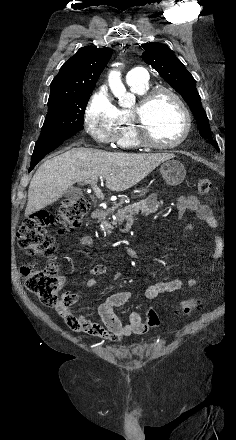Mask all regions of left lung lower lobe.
I'll use <instances>...</instances> for the list:
<instances>
[{
    "label": "left lung lower lobe",
    "instance_id": "0a47b994",
    "mask_svg": "<svg viewBox=\"0 0 236 440\" xmlns=\"http://www.w3.org/2000/svg\"><path fill=\"white\" fill-rule=\"evenodd\" d=\"M208 143L212 144L217 150H219V148H218V144L216 143V141H214V140H209Z\"/></svg>",
    "mask_w": 236,
    "mask_h": 440
}]
</instances>
